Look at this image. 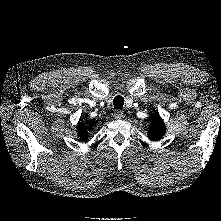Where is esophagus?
I'll return each instance as SVG.
<instances>
[{
  "mask_svg": "<svg viewBox=\"0 0 221 221\" xmlns=\"http://www.w3.org/2000/svg\"><path fill=\"white\" fill-rule=\"evenodd\" d=\"M124 117V113L121 110H116L114 112V118L115 119H122Z\"/></svg>",
  "mask_w": 221,
  "mask_h": 221,
  "instance_id": "34e87169",
  "label": "esophagus"
}]
</instances>
